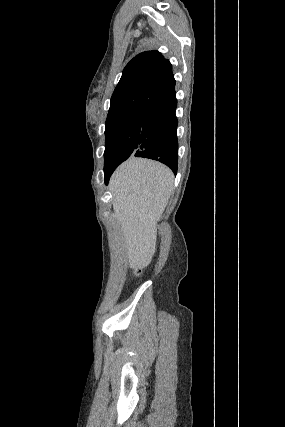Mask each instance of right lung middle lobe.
Listing matches in <instances>:
<instances>
[{
  "mask_svg": "<svg viewBox=\"0 0 285 427\" xmlns=\"http://www.w3.org/2000/svg\"><path fill=\"white\" fill-rule=\"evenodd\" d=\"M146 111L105 123L104 172L115 170L141 143L139 141Z\"/></svg>",
  "mask_w": 285,
  "mask_h": 427,
  "instance_id": "right-lung-middle-lobe-1",
  "label": "right lung middle lobe"
}]
</instances>
